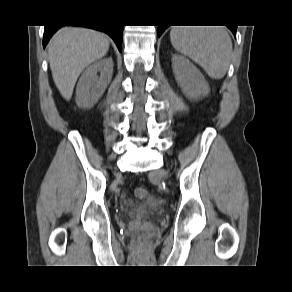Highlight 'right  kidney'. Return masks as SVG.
I'll use <instances>...</instances> for the list:
<instances>
[{"instance_id":"right-kidney-1","label":"right kidney","mask_w":292,"mask_h":292,"mask_svg":"<svg viewBox=\"0 0 292 292\" xmlns=\"http://www.w3.org/2000/svg\"><path fill=\"white\" fill-rule=\"evenodd\" d=\"M100 72V76L97 73ZM113 74L111 57L95 61L82 73L76 88V103L79 107L90 108L102 96Z\"/></svg>"}]
</instances>
